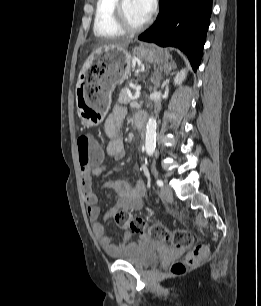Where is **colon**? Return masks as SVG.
Returning a JSON list of instances; mask_svg holds the SVG:
<instances>
[{
	"instance_id": "5ec220e1",
	"label": "colon",
	"mask_w": 261,
	"mask_h": 306,
	"mask_svg": "<svg viewBox=\"0 0 261 306\" xmlns=\"http://www.w3.org/2000/svg\"><path fill=\"white\" fill-rule=\"evenodd\" d=\"M79 163L82 167L97 163L102 159V147L92 139L88 133L80 134L77 138ZM115 223L121 229H128L135 233L150 237L155 241L170 242L177 249H187L192 246L194 238L189 230L168 229L159 223H149L140 217H134L124 210H117L113 214ZM208 254L205 246H197L191 249L184 260L175 262L171 271L174 274H182L187 268L203 262Z\"/></svg>"
}]
</instances>
